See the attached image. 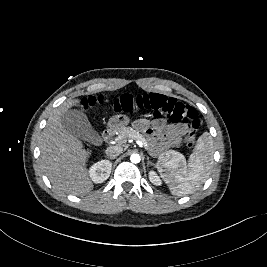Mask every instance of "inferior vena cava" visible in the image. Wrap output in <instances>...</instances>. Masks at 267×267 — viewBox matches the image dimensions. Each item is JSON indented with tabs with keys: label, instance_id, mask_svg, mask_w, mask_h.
Segmentation results:
<instances>
[{
	"label": "inferior vena cava",
	"instance_id": "1",
	"mask_svg": "<svg viewBox=\"0 0 267 267\" xmlns=\"http://www.w3.org/2000/svg\"><path fill=\"white\" fill-rule=\"evenodd\" d=\"M122 151L123 148L121 146L115 145V146H109L105 152L110 159H115L122 153Z\"/></svg>",
	"mask_w": 267,
	"mask_h": 267
}]
</instances>
